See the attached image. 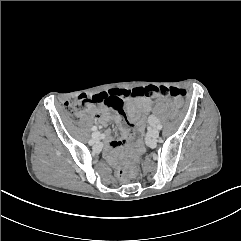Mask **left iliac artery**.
<instances>
[{
  "mask_svg": "<svg viewBox=\"0 0 241 241\" xmlns=\"http://www.w3.org/2000/svg\"><path fill=\"white\" fill-rule=\"evenodd\" d=\"M157 129L161 130L162 129V125L161 124H157Z\"/></svg>",
  "mask_w": 241,
  "mask_h": 241,
  "instance_id": "1",
  "label": "left iliac artery"
}]
</instances>
